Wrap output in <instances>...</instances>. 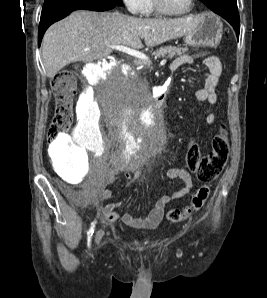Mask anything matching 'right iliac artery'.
Masks as SVG:
<instances>
[{
  "mask_svg": "<svg viewBox=\"0 0 267 298\" xmlns=\"http://www.w3.org/2000/svg\"><path fill=\"white\" fill-rule=\"evenodd\" d=\"M96 220H94L92 223H91V226H90V229L89 231L87 232V246L90 247L91 245V238H92V235L94 233V229H95V225H96Z\"/></svg>",
  "mask_w": 267,
  "mask_h": 298,
  "instance_id": "right-iliac-artery-1",
  "label": "right iliac artery"
}]
</instances>
